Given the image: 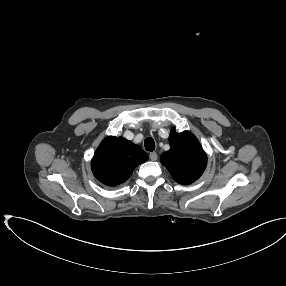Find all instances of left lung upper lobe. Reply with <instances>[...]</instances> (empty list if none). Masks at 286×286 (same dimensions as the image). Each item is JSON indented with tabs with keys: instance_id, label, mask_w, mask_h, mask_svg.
<instances>
[{
	"instance_id": "5c2ea615",
	"label": "left lung upper lobe",
	"mask_w": 286,
	"mask_h": 286,
	"mask_svg": "<svg viewBox=\"0 0 286 286\" xmlns=\"http://www.w3.org/2000/svg\"><path fill=\"white\" fill-rule=\"evenodd\" d=\"M169 144L170 149L161 155L160 161L173 179L182 185L199 179L206 168L207 155L197 138L189 131L177 133L173 129Z\"/></svg>"
}]
</instances>
